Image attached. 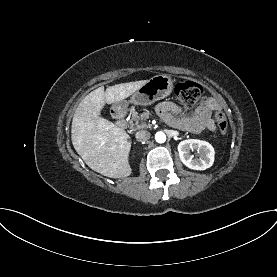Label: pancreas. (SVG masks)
Instances as JSON below:
<instances>
[{
	"mask_svg": "<svg viewBox=\"0 0 277 277\" xmlns=\"http://www.w3.org/2000/svg\"><path fill=\"white\" fill-rule=\"evenodd\" d=\"M149 117L148 113L139 114L138 112L132 110V119L130 121L131 126H135L136 129L148 128V125L145 122H142L144 119Z\"/></svg>",
	"mask_w": 277,
	"mask_h": 277,
	"instance_id": "pancreas-1",
	"label": "pancreas"
}]
</instances>
